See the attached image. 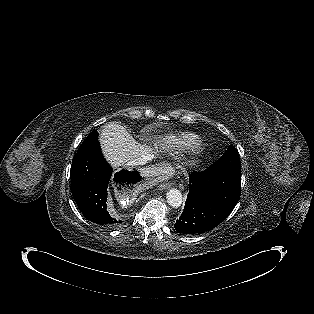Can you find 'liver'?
<instances>
[{"label":"liver","instance_id":"obj_1","mask_svg":"<svg viewBox=\"0 0 314 314\" xmlns=\"http://www.w3.org/2000/svg\"><path fill=\"white\" fill-rule=\"evenodd\" d=\"M99 141L105 158L116 168L152 152L149 147L137 142L123 126L114 122L103 126Z\"/></svg>","mask_w":314,"mask_h":314}]
</instances>
